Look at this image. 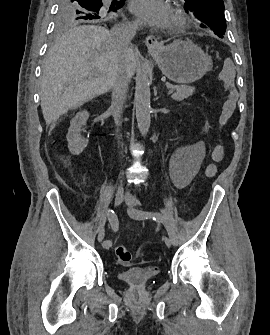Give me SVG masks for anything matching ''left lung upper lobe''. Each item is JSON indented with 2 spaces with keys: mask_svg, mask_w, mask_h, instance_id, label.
I'll use <instances>...</instances> for the list:
<instances>
[{
  "mask_svg": "<svg viewBox=\"0 0 270 335\" xmlns=\"http://www.w3.org/2000/svg\"><path fill=\"white\" fill-rule=\"evenodd\" d=\"M184 10L191 14L202 28L223 37L226 31L223 0H185Z\"/></svg>",
  "mask_w": 270,
  "mask_h": 335,
  "instance_id": "obj_1",
  "label": "left lung upper lobe"
}]
</instances>
